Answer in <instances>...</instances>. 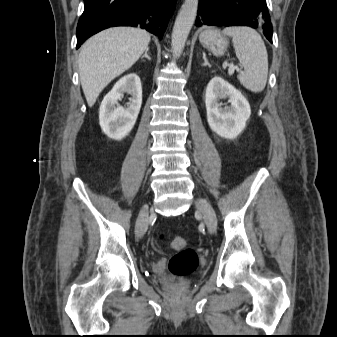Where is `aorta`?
I'll use <instances>...</instances> for the list:
<instances>
[{
    "label": "aorta",
    "mask_w": 337,
    "mask_h": 337,
    "mask_svg": "<svg viewBox=\"0 0 337 337\" xmlns=\"http://www.w3.org/2000/svg\"><path fill=\"white\" fill-rule=\"evenodd\" d=\"M199 0H185L174 23L171 36V50L179 56L185 46L190 30L195 22Z\"/></svg>",
    "instance_id": "aorta-1"
}]
</instances>
